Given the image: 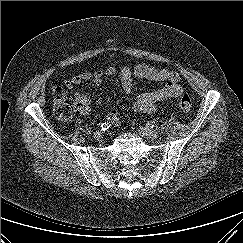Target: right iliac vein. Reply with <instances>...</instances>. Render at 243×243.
<instances>
[{
    "label": "right iliac vein",
    "instance_id": "right-iliac-vein-1",
    "mask_svg": "<svg viewBox=\"0 0 243 243\" xmlns=\"http://www.w3.org/2000/svg\"><path fill=\"white\" fill-rule=\"evenodd\" d=\"M103 137V132L102 131H96L94 133V139L100 140Z\"/></svg>",
    "mask_w": 243,
    "mask_h": 243
}]
</instances>
